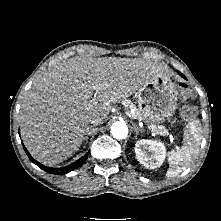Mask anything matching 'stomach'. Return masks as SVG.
I'll return each instance as SVG.
<instances>
[{"label":"stomach","mask_w":221,"mask_h":221,"mask_svg":"<svg viewBox=\"0 0 221 221\" xmlns=\"http://www.w3.org/2000/svg\"><path fill=\"white\" fill-rule=\"evenodd\" d=\"M140 116L148 126L159 124L172 116L177 107L178 91L163 74L152 77L137 92Z\"/></svg>","instance_id":"0dacf381"}]
</instances>
